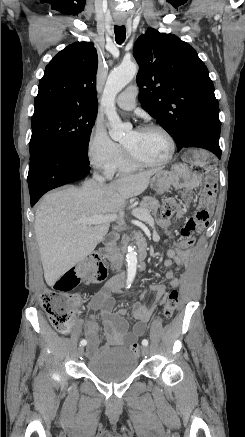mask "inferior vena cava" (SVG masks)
<instances>
[{
    "label": "inferior vena cava",
    "instance_id": "obj_1",
    "mask_svg": "<svg viewBox=\"0 0 245 437\" xmlns=\"http://www.w3.org/2000/svg\"><path fill=\"white\" fill-rule=\"evenodd\" d=\"M93 181H95V182L98 183L99 185H103L104 182H105V179H104V177H102V176L99 175L98 173L94 172V173H93ZM113 265H114V269H115L117 272H119V271L121 270V265H120L118 259H115V260H114Z\"/></svg>",
    "mask_w": 245,
    "mask_h": 437
}]
</instances>
